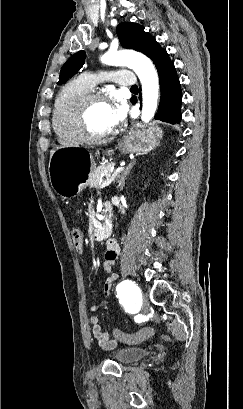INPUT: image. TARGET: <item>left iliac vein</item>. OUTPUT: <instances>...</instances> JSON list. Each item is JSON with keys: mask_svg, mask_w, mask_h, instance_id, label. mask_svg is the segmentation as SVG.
I'll return each instance as SVG.
<instances>
[{"mask_svg": "<svg viewBox=\"0 0 243 409\" xmlns=\"http://www.w3.org/2000/svg\"><path fill=\"white\" fill-rule=\"evenodd\" d=\"M148 310H149L148 301H147V299L144 297V298H143V311H144V312H148Z\"/></svg>", "mask_w": 243, "mask_h": 409, "instance_id": "left-iliac-vein-1", "label": "left iliac vein"}]
</instances>
